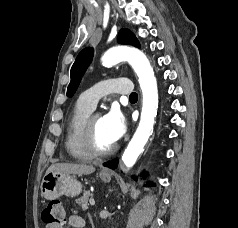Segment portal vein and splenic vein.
Returning <instances> with one entry per match:
<instances>
[{
	"label": "portal vein and splenic vein",
	"instance_id": "obj_1",
	"mask_svg": "<svg viewBox=\"0 0 238 228\" xmlns=\"http://www.w3.org/2000/svg\"><path fill=\"white\" fill-rule=\"evenodd\" d=\"M90 205H92V206H94L95 205V200L92 198V199H90Z\"/></svg>",
	"mask_w": 238,
	"mask_h": 228
}]
</instances>
